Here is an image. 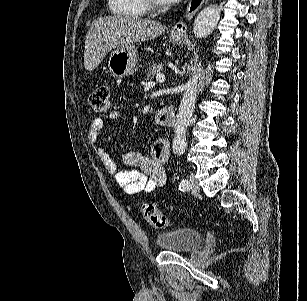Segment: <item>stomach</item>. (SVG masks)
Here are the masks:
<instances>
[{"label": "stomach", "mask_w": 307, "mask_h": 301, "mask_svg": "<svg viewBox=\"0 0 307 301\" xmlns=\"http://www.w3.org/2000/svg\"><path fill=\"white\" fill-rule=\"evenodd\" d=\"M173 44H183L185 38L180 36V34H174L170 32L169 36ZM138 48L136 44H126L125 48H116L108 60V66L111 74L113 76H127V74H133L136 72L137 62H138Z\"/></svg>", "instance_id": "1"}]
</instances>
